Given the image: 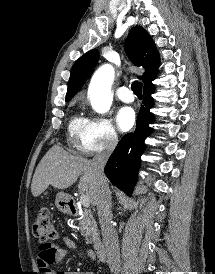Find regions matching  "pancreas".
Listing matches in <instances>:
<instances>
[{
	"instance_id": "cf45deb5",
	"label": "pancreas",
	"mask_w": 215,
	"mask_h": 274,
	"mask_svg": "<svg viewBox=\"0 0 215 274\" xmlns=\"http://www.w3.org/2000/svg\"><path fill=\"white\" fill-rule=\"evenodd\" d=\"M79 225L82 228V232L85 236V241L87 244L97 242L98 240V229L95 219L88 210H84L79 218Z\"/></svg>"
}]
</instances>
